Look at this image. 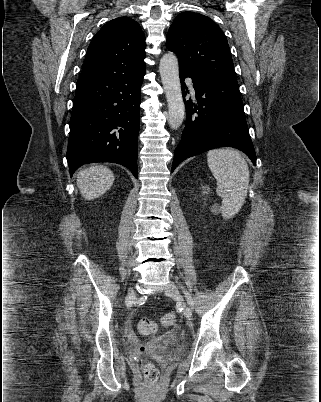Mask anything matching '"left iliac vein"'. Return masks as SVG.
I'll return each mask as SVG.
<instances>
[{
	"label": "left iliac vein",
	"mask_w": 321,
	"mask_h": 402,
	"mask_svg": "<svg viewBox=\"0 0 321 402\" xmlns=\"http://www.w3.org/2000/svg\"><path fill=\"white\" fill-rule=\"evenodd\" d=\"M165 293H166L168 296H170V297H173V298L178 299V300L182 303L184 316H185L187 319H191V318H192V310H191V308L184 302V300H183V298H182V296H181V294H180L179 288L177 287V285H176L175 283L170 282V283L166 286Z\"/></svg>",
	"instance_id": "4c4485c4"
}]
</instances>
